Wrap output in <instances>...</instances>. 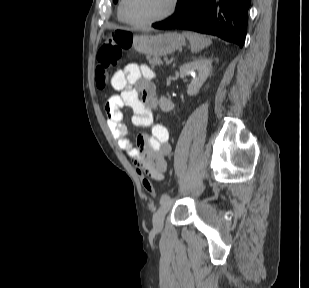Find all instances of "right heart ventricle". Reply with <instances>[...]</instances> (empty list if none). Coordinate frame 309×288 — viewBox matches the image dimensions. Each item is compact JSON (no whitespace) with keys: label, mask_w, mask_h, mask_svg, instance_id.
Wrapping results in <instances>:
<instances>
[{"label":"right heart ventricle","mask_w":309,"mask_h":288,"mask_svg":"<svg viewBox=\"0 0 309 288\" xmlns=\"http://www.w3.org/2000/svg\"><path fill=\"white\" fill-rule=\"evenodd\" d=\"M118 18H119V20L123 21V20L121 19V17H120L119 7H118Z\"/></svg>","instance_id":"e07e8e85"}]
</instances>
